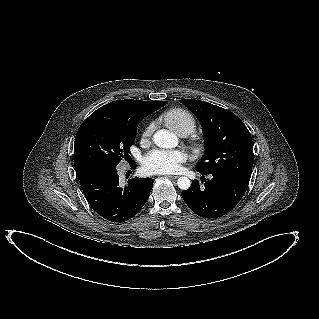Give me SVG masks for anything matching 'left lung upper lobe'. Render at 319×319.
Here are the masks:
<instances>
[{
	"mask_svg": "<svg viewBox=\"0 0 319 319\" xmlns=\"http://www.w3.org/2000/svg\"><path fill=\"white\" fill-rule=\"evenodd\" d=\"M199 119L205 139V155L196 170L204 174L227 173L250 181L254 162L250 132L231 111L200 100L183 99Z\"/></svg>",
	"mask_w": 319,
	"mask_h": 319,
	"instance_id": "obj_1",
	"label": "left lung upper lobe"
}]
</instances>
